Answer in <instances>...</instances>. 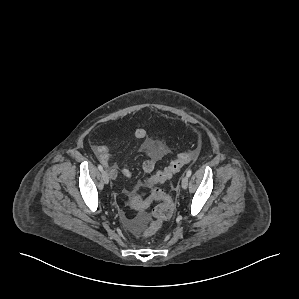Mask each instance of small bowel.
<instances>
[{"label": "small bowel", "mask_w": 299, "mask_h": 299, "mask_svg": "<svg viewBox=\"0 0 299 299\" xmlns=\"http://www.w3.org/2000/svg\"><path fill=\"white\" fill-rule=\"evenodd\" d=\"M134 138L142 142L143 150L148 154V159L142 163V170L150 174L154 171L157 162H159L166 154V147L163 142H157L147 137L145 129H137L134 132ZM96 156L100 163L106 167L112 179H116L119 172L125 177H130L131 172L128 168H120L110 161L109 149L106 146H98L95 150ZM132 195L133 193H129Z\"/></svg>", "instance_id": "1"}]
</instances>
